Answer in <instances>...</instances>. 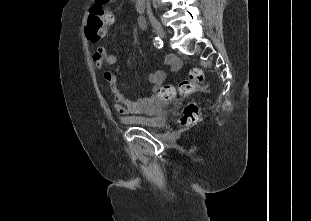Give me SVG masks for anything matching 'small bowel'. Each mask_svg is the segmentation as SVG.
<instances>
[{"label":"small bowel","instance_id":"c3829d8e","mask_svg":"<svg viewBox=\"0 0 311 221\" xmlns=\"http://www.w3.org/2000/svg\"><path fill=\"white\" fill-rule=\"evenodd\" d=\"M144 28L145 25L140 29L143 30ZM93 59L95 66L99 69H102L105 64L114 65L117 63V57L111 54L105 46H99L96 49ZM103 77L109 83L114 97L113 108L117 114L128 116L145 112L147 104L150 101L149 97H141L134 101L128 100L118 87V75L116 73L105 70ZM149 80L154 88L160 87L165 80L164 71L157 70L152 72L149 75Z\"/></svg>","mask_w":311,"mask_h":221}]
</instances>
